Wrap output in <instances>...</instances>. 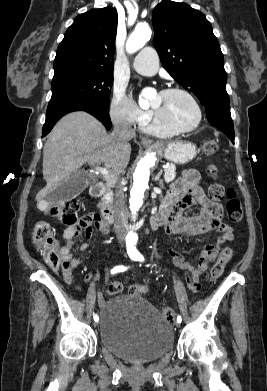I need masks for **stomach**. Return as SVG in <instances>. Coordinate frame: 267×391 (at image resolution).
I'll return each instance as SVG.
<instances>
[{"instance_id":"obj_1","label":"stomach","mask_w":267,"mask_h":391,"mask_svg":"<svg viewBox=\"0 0 267 391\" xmlns=\"http://www.w3.org/2000/svg\"><path fill=\"white\" fill-rule=\"evenodd\" d=\"M162 152L166 160L175 164H186L196 157L198 150L192 142L178 141L162 147Z\"/></svg>"}]
</instances>
